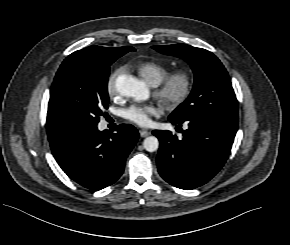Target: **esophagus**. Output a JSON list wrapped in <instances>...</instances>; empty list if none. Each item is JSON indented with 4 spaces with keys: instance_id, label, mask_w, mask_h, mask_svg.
<instances>
[{
    "instance_id": "34e87169",
    "label": "esophagus",
    "mask_w": 290,
    "mask_h": 245,
    "mask_svg": "<svg viewBox=\"0 0 290 245\" xmlns=\"http://www.w3.org/2000/svg\"><path fill=\"white\" fill-rule=\"evenodd\" d=\"M139 133H140L141 137H147V136H149V135L151 134L150 131L145 130V129H141V130L139 131Z\"/></svg>"
}]
</instances>
